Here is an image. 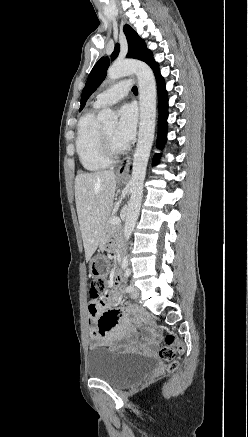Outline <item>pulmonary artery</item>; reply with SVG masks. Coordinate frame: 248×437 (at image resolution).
<instances>
[{
  "label": "pulmonary artery",
  "instance_id": "pulmonary-artery-1",
  "mask_svg": "<svg viewBox=\"0 0 248 437\" xmlns=\"http://www.w3.org/2000/svg\"><path fill=\"white\" fill-rule=\"evenodd\" d=\"M130 89L131 80L120 81L100 92L96 96L93 104L97 108L112 105L120 99L124 98L129 93Z\"/></svg>",
  "mask_w": 248,
  "mask_h": 437
}]
</instances>
